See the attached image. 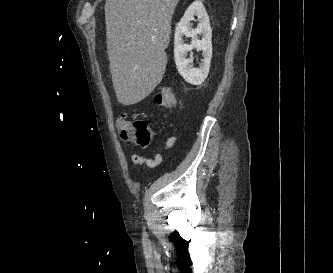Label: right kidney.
<instances>
[{
    "mask_svg": "<svg viewBox=\"0 0 333 273\" xmlns=\"http://www.w3.org/2000/svg\"><path fill=\"white\" fill-rule=\"evenodd\" d=\"M194 16L198 18L196 29L191 27V21ZM202 35V40L198 39ZM191 37L190 45L185 44L182 37ZM212 29L210 27L209 17L200 0L193 2L185 11L184 16L178 23L174 34V58L176 67L184 80L192 85H200L207 78L212 58ZM193 49L202 50L203 62L198 68L191 64L193 59L187 58V53Z\"/></svg>",
    "mask_w": 333,
    "mask_h": 273,
    "instance_id": "obj_1",
    "label": "right kidney"
}]
</instances>
